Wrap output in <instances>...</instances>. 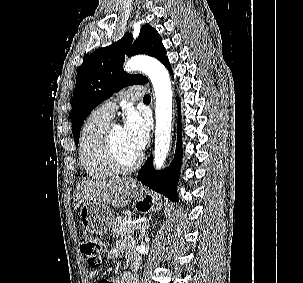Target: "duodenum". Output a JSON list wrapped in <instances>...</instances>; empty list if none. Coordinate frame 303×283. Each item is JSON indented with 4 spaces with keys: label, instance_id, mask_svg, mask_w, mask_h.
Here are the masks:
<instances>
[{
    "label": "duodenum",
    "instance_id": "410a0bca",
    "mask_svg": "<svg viewBox=\"0 0 303 283\" xmlns=\"http://www.w3.org/2000/svg\"><path fill=\"white\" fill-rule=\"evenodd\" d=\"M138 268H139V260L138 259L133 260L131 265V272H130L132 276L131 283H138V279H137Z\"/></svg>",
    "mask_w": 303,
    "mask_h": 283
}]
</instances>
